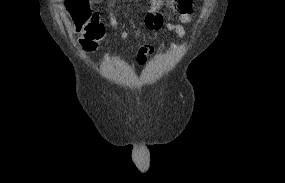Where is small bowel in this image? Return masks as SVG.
I'll return each instance as SVG.
<instances>
[{"mask_svg": "<svg viewBox=\"0 0 285 183\" xmlns=\"http://www.w3.org/2000/svg\"><path fill=\"white\" fill-rule=\"evenodd\" d=\"M163 6L161 0H152L150 13L145 18V25L148 29L153 31H158L162 28L167 31L173 32L179 38H184L186 35V29L183 24H191L193 22L192 11H181L179 7H191L192 0H180L177 3L178 12H174L180 23H175L171 21H165L161 14H159V9ZM109 24L113 29H117L119 23L113 14L109 16ZM130 34L128 31L123 30L120 32V38L122 40H127ZM153 53V47L148 44H144L139 49L138 60L139 62H144L146 58Z\"/></svg>", "mask_w": 285, "mask_h": 183, "instance_id": "obj_1", "label": "small bowel"}]
</instances>
